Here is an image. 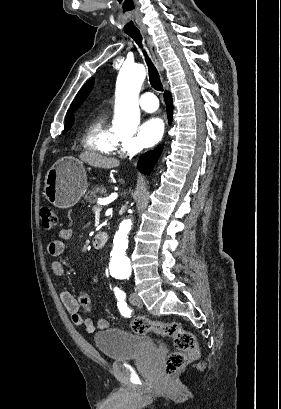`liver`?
<instances>
[{"mask_svg": "<svg viewBox=\"0 0 281 409\" xmlns=\"http://www.w3.org/2000/svg\"><path fill=\"white\" fill-rule=\"evenodd\" d=\"M79 158L90 164V166H98V168H114V166H119L118 158L114 156H103L95 150H85L79 154Z\"/></svg>", "mask_w": 281, "mask_h": 409, "instance_id": "6515ba94", "label": "liver"}]
</instances>
